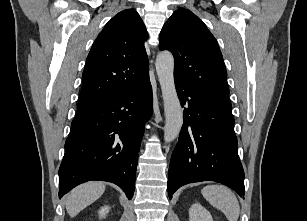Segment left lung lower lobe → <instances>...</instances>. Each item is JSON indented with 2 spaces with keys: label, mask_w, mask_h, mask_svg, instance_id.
Returning a JSON list of instances; mask_svg holds the SVG:
<instances>
[{
  "label": "left lung lower lobe",
  "mask_w": 307,
  "mask_h": 221,
  "mask_svg": "<svg viewBox=\"0 0 307 221\" xmlns=\"http://www.w3.org/2000/svg\"><path fill=\"white\" fill-rule=\"evenodd\" d=\"M183 112V126L172 153L168 193L198 181H215L244 196V171L238 156L234 118L227 111L192 91L175 77Z\"/></svg>",
  "instance_id": "left-lung-lower-lobe-1"
}]
</instances>
